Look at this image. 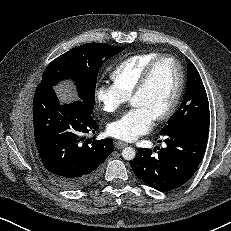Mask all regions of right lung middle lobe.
<instances>
[{
	"label": "right lung middle lobe",
	"mask_w": 231,
	"mask_h": 231,
	"mask_svg": "<svg viewBox=\"0 0 231 231\" xmlns=\"http://www.w3.org/2000/svg\"><path fill=\"white\" fill-rule=\"evenodd\" d=\"M122 50L124 48L105 43H87L73 48L47 66L41 83L53 86L63 79L73 80L81 101L93 112L99 69L107 59Z\"/></svg>",
	"instance_id": "obj_1"
}]
</instances>
